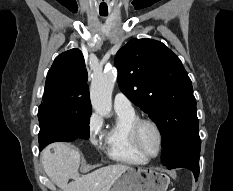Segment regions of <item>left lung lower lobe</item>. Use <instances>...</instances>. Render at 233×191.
I'll return each instance as SVG.
<instances>
[{
	"label": "left lung lower lobe",
	"instance_id": "0a47b994",
	"mask_svg": "<svg viewBox=\"0 0 233 191\" xmlns=\"http://www.w3.org/2000/svg\"><path fill=\"white\" fill-rule=\"evenodd\" d=\"M199 157H200V149L188 150L176 158H174L168 165H166L169 169L183 167L191 170L194 174L195 180L198 179L199 176Z\"/></svg>",
	"mask_w": 233,
	"mask_h": 191
}]
</instances>
